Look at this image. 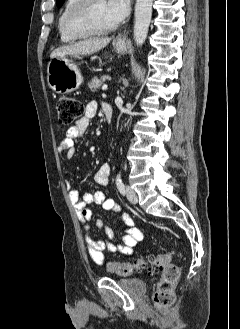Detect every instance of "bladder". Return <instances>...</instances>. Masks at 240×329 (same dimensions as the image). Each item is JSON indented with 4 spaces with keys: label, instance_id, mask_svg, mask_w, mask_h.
I'll return each instance as SVG.
<instances>
[{
    "label": "bladder",
    "instance_id": "31cf9c89",
    "mask_svg": "<svg viewBox=\"0 0 240 329\" xmlns=\"http://www.w3.org/2000/svg\"><path fill=\"white\" fill-rule=\"evenodd\" d=\"M115 280L119 285L136 294H142L146 291V283L140 278L121 277L116 278Z\"/></svg>",
    "mask_w": 240,
    "mask_h": 329
}]
</instances>
